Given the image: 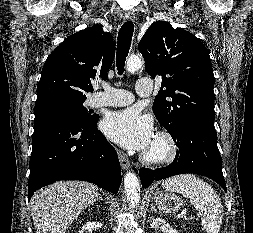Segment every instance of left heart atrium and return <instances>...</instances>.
<instances>
[{"mask_svg": "<svg viewBox=\"0 0 253 233\" xmlns=\"http://www.w3.org/2000/svg\"><path fill=\"white\" fill-rule=\"evenodd\" d=\"M102 130L112 141L135 151L148 148L154 140L151 119L132 108L107 115Z\"/></svg>", "mask_w": 253, "mask_h": 233, "instance_id": "1", "label": "left heart atrium"}]
</instances>
